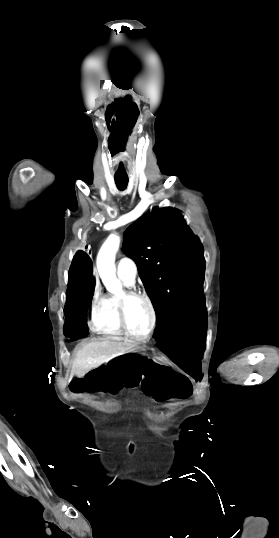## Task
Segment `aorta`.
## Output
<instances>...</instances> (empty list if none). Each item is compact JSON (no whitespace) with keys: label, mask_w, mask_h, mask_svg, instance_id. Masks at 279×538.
<instances>
[{"label":"aorta","mask_w":279,"mask_h":538,"mask_svg":"<svg viewBox=\"0 0 279 538\" xmlns=\"http://www.w3.org/2000/svg\"><path fill=\"white\" fill-rule=\"evenodd\" d=\"M120 246V237L111 234L102 245L97 256V269L107 291L115 296H122L123 289L116 277L115 257Z\"/></svg>","instance_id":"obj_1"}]
</instances>
